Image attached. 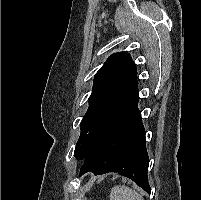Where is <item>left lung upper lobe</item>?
<instances>
[{
  "instance_id": "5c2ea615",
  "label": "left lung upper lobe",
  "mask_w": 201,
  "mask_h": 200,
  "mask_svg": "<svg viewBox=\"0 0 201 200\" xmlns=\"http://www.w3.org/2000/svg\"><path fill=\"white\" fill-rule=\"evenodd\" d=\"M136 65L126 52L112 55L94 77L89 108L80 126L81 134L74 155L82 159L97 130L115 107L136 87Z\"/></svg>"
}]
</instances>
